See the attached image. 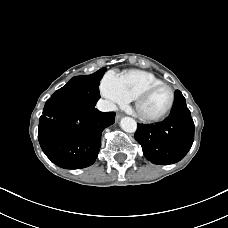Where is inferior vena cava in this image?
Returning a JSON list of instances; mask_svg holds the SVG:
<instances>
[{"instance_id":"1","label":"inferior vena cava","mask_w":228,"mask_h":228,"mask_svg":"<svg viewBox=\"0 0 228 228\" xmlns=\"http://www.w3.org/2000/svg\"><path fill=\"white\" fill-rule=\"evenodd\" d=\"M97 109L102 112H109V111H116L117 107L114 103H112L108 100L100 99L97 102Z\"/></svg>"}]
</instances>
